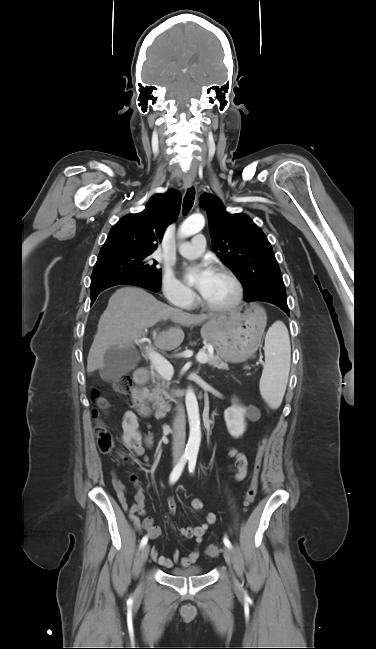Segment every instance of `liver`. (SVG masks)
<instances>
[{
	"mask_svg": "<svg viewBox=\"0 0 376 649\" xmlns=\"http://www.w3.org/2000/svg\"><path fill=\"white\" fill-rule=\"evenodd\" d=\"M209 318L207 315H190L171 308L141 288H120L110 297L100 317L87 358V372L103 367V357L109 348H132L143 336L144 330L160 320L192 326ZM183 340L181 328H169L156 335L154 345L162 351H171L180 346Z\"/></svg>",
	"mask_w": 376,
	"mask_h": 649,
	"instance_id": "6515ba94",
	"label": "liver"
}]
</instances>
